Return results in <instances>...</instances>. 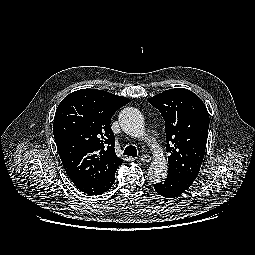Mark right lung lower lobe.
<instances>
[{
  "instance_id": "obj_1",
  "label": "right lung lower lobe",
  "mask_w": 255,
  "mask_h": 255,
  "mask_svg": "<svg viewBox=\"0 0 255 255\" xmlns=\"http://www.w3.org/2000/svg\"><path fill=\"white\" fill-rule=\"evenodd\" d=\"M115 181V174L100 182H93L89 184H76L75 186L85 194L100 195L106 192L113 185Z\"/></svg>"
}]
</instances>
